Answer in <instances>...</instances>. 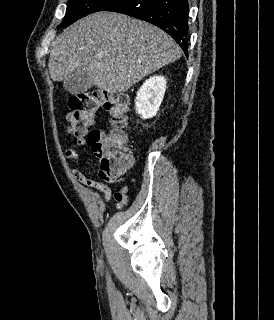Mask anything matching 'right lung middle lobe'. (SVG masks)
Instances as JSON below:
<instances>
[{"instance_id":"obj_1","label":"right lung middle lobe","mask_w":274,"mask_h":320,"mask_svg":"<svg viewBox=\"0 0 274 320\" xmlns=\"http://www.w3.org/2000/svg\"><path fill=\"white\" fill-rule=\"evenodd\" d=\"M114 1L115 0H68L66 15L58 28L67 27L86 15L102 11Z\"/></svg>"}]
</instances>
